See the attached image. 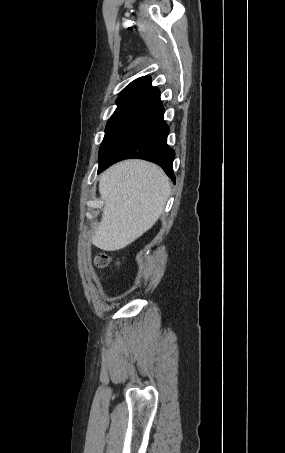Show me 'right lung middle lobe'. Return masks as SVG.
Instances as JSON below:
<instances>
[{"label":"right lung middle lobe","instance_id":"dd1d6c3e","mask_svg":"<svg viewBox=\"0 0 285 453\" xmlns=\"http://www.w3.org/2000/svg\"><path fill=\"white\" fill-rule=\"evenodd\" d=\"M123 100H117L116 101V104L118 105L117 109L115 110V112L113 113V115L110 117V119L108 120L107 122V125H106V130L108 129L109 125L111 124L112 120H113V117L115 115V113L117 112V110L119 109V107L123 104ZM105 130V132H106Z\"/></svg>","mask_w":285,"mask_h":453}]
</instances>
